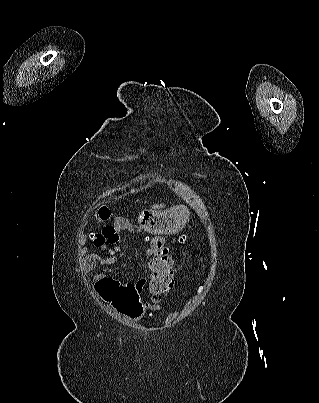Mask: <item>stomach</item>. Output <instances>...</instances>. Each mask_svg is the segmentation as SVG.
Segmentation results:
<instances>
[{"label": "stomach", "instance_id": "stomach-1", "mask_svg": "<svg viewBox=\"0 0 319 403\" xmlns=\"http://www.w3.org/2000/svg\"><path fill=\"white\" fill-rule=\"evenodd\" d=\"M139 228L144 229L146 236L150 234H175L182 230L189 219V212L183 206H177L165 211L137 210Z\"/></svg>", "mask_w": 319, "mask_h": 403}]
</instances>
